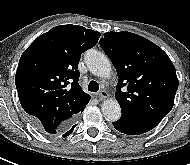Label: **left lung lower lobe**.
I'll use <instances>...</instances> for the list:
<instances>
[{"instance_id":"obj_1","label":"left lung lower lobe","mask_w":190,"mask_h":165,"mask_svg":"<svg viewBox=\"0 0 190 165\" xmlns=\"http://www.w3.org/2000/svg\"><path fill=\"white\" fill-rule=\"evenodd\" d=\"M161 120L153 118H142L122 114L121 118L113 122V126L124 134L139 135L153 129Z\"/></svg>"}]
</instances>
